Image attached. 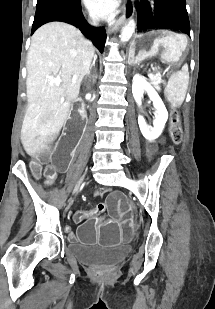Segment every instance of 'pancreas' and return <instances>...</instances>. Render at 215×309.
<instances>
[{
	"instance_id": "pancreas-1",
	"label": "pancreas",
	"mask_w": 215,
	"mask_h": 309,
	"mask_svg": "<svg viewBox=\"0 0 215 309\" xmlns=\"http://www.w3.org/2000/svg\"><path fill=\"white\" fill-rule=\"evenodd\" d=\"M157 88H158V90H160V86H159V84H157Z\"/></svg>"
}]
</instances>
